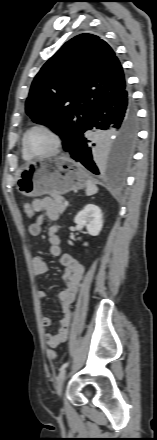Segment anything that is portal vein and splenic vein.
Instances as JSON below:
<instances>
[{
  "mask_svg": "<svg viewBox=\"0 0 157 440\" xmlns=\"http://www.w3.org/2000/svg\"><path fill=\"white\" fill-rule=\"evenodd\" d=\"M64 204L67 206L69 203H68V201H64Z\"/></svg>",
  "mask_w": 157,
  "mask_h": 440,
  "instance_id": "obj_1",
  "label": "portal vein and splenic vein"
}]
</instances>
